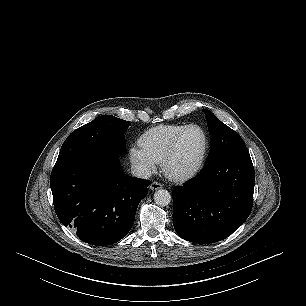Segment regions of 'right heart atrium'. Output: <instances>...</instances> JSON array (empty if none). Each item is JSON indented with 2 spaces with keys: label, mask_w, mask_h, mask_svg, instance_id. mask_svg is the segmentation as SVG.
<instances>
[{
  "label": "right heart atrium",
  "mask_w": 306,
  "mask_h": 306,
  "mask_svg": "<svg viewBox=\"0 0 306 306\" xmlns=\"http://www.w3.org/2000/svg\"><path fill=\"white\" fill-rule=\"evenodd\" d=\"M129 158L132 165L143 175H149L154 172L158 163L141 146H131Z\"/></svg>",
  "instance_id": "right-heart-atrium-1"
}]
</instances>
